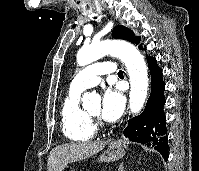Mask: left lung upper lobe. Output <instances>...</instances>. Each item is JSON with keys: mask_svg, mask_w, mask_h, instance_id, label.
Returning a JSON list of instances; mask_svg holds the SVG:
<instances>
[{"mask_svg": "<svg viewBox=\"0 0 199 171\" xmlns=\"http://www.w3.org/2000/svg\"><path fill=\"white\" fill-rule=\"evenodd\" d=\"M112 36L116 39H124V40H128L130 42L137 43V44L140 41L139 37H136V38L134 37V34L130 29H128L122 25H117L113 29ZM139 48H142L141 44L139 45Z\"/></svg>", "mask_w": 199, "mask_h": 171, "instance_id": "5c2ea615", "label": "left lung upper lobe"}]
</instances>
